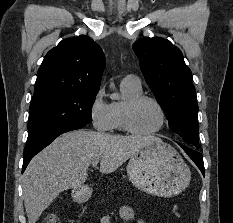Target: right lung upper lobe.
<instances>
[{
  "label": "right lung upper lobe",
  "mask_w": 233,
  "mask_h": 223,
  "mask_svg": "<svg viewBox=\"0 0 233 223\" xmlns=\"http://www.w3.org/2000/svg\"><path fill=\"white\" fill-rule=\"evenodd\" d=\"M104 66V53L90 37L64 39L46 54L38 70L33 95L52 91H99Z\"/></svg>",
  "instance_id": "1"
}]
</instances>
